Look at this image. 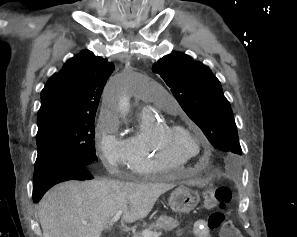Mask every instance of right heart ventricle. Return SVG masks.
Wrapping results in <instances>:
<instances>
[{
  "label": "right heart ventricle",
  "mask_w": 297,
  "mask_h": 237,
  "mask_svg": "<svg viewBox=\"0 0 297 237\" xmlns=\"http://www.w3.org/2000/svg\"><path fill=\"white\" fill-rule=\"evenodd\" d=\"M165 124V119L152 112L141 113L140 129L127 140V166L133 174L166 175L185 165L181 160L163 155L156 146L157 131Z\"/></svg>",
  "instance_id": "right-heart-ventricle-1"
}]
</instances>
